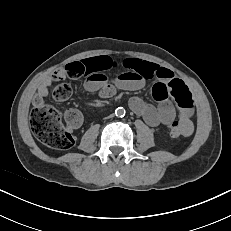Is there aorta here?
<instances>
[{
  "label": "aorta",
  "mask_w": 231,
  "mask_h": 231,
  "mask_svg": "<svg viewBox=\"0 0 231 231\" xmlns=\"http://www.w3.org/2000/svg\"><path fill=\"white\" fill-rule=\"evenodd\" d=\"M116 116H123L125 114V110L122 107H119L115 111Z\"/></svg>",
  "instance_id": "1"
}]
</instances>
